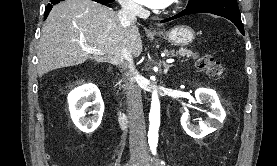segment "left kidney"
Wrapping results in <instances>:
<instances>
[{"instance_id":"left-kidney-1","label":"left kidney","mask_w":277,"mask_h":166,"mask_svg":"<svg viewBox=\"0 0 277 166\" xmlns=\"http://www.w3.org/2000/svg\"><path fill=\"white\" fill-rule=\"evenodd\" d=\"M195 97L198 103H205L209 107L210 111L206 112L208 117L200 122L199 126H194L190 123L189 113L186 112L181 117V125L189 136L200 139L219 128L226 113L214 90L199 88L195 91Z\"/></svg>"}]
</instances>
